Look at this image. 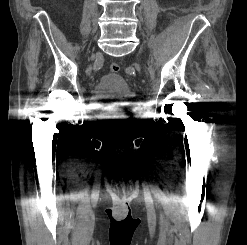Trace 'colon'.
Masks as SVG:
<instances>
[{
	"instance_id": "obj_1",
	"label": "colon",
	"mask_w": 247,
	"mask_h": 245,
	"mask_svg": "<svg viewBox=\"0 0 247 245\" xmlns=\"http://www.w3.org/2000/svg\"><path fill=\"white\" fill-rule=\"evenodd\" d=\"M120 67L117 63H111L109 66V70L112 73H117L119 71Z\"/></svg>"
}]
</instances>
